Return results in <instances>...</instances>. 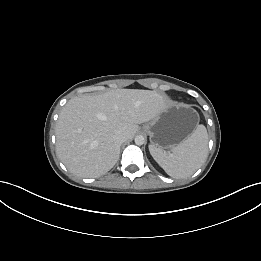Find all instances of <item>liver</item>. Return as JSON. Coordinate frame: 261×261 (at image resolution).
Masks as SVG:
<instances>
[{"mask_svg": "<svg viewBox=\"0 0 261 261\" xmlns=\"http://www.w3.org/2000/svg\"><path fill=\"white\" fill-rule=\"evenodd\" d=\"M170 102L156 91L117 89L70 99L56 124V151L67 169L80 177L107 173L117 162L114 134L133 138L138 124L154 119Z\"/></svg>", "mask_w": 261, "mask_h": 261, "instance_id": "6515ba94", "label": "liver"}]
</instances>
